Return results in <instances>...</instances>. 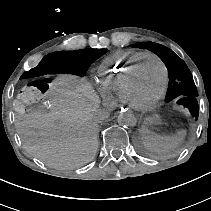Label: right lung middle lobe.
Instances as JSON below:
<instances>
[{
	"mask_svg": "<svg viewBox=\"0 0 211 211\" xmlns=\"http://www.w3.org/2000/svg\"><path fill=\"white\" fill-rule=\"evenodd\" d=\"M84 52V62H83V69L81 70V76L86 74L87 69L89 66L100 56L107 52V49H86L82 50Z\"/></svg>",
	"mask_w": 211,
	"mask_h": 211,
	"instance_id": "dd1d6c3e",
	"label": "right lung middle lobe"
}]
</instances>
